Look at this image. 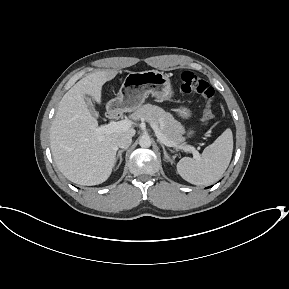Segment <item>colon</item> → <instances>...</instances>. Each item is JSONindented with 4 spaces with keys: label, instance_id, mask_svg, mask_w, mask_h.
I'll use <instances>...</instances> for the list:
<instances>
[{
    "label": "colon",
    "instance_id": "colon-1",
    "mask_svg": "<svg viewBox=\"0 0 289 289\" xmlns=\"http://www.w3.org/2000/svg\"><path fill=\"white\" fill-rule=\"evenodd\" d=\"M180 90L185 94H198L206 100V107L202 115L203 124H209L213 118L212 102L214 89L212 86L199 75L185 71L181 74Z\"/></svg>",
    "mask_w": 289,
    "mask_h": 289
}]
</instances>
